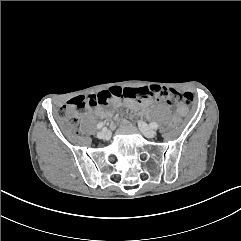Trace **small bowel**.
Instances as JSON below:
<instances>
[{"instance_id":"small-bowel-1","label":"small bowel","mask_w":241,"mask_h":241,"mask_svg":"<svg viewBox=\"0 0 241 241\" xmlns=\"http://www.w3.org/2000/svg\"><path fill=\"white\" fill-rule=\"evenodd\" d=\"M152 102L153 101L151 99H146V100H143L141 102H137V101H133V100H127L128 105H130L132 107H141V108H146L147 106L152 104ZM178 111H179V113L183 114V113H185V108L180 106V107H178ZM95 112H96L97 115H99L101 117H107L108 116V112H106L101 107H97L95 109Z\"/></svg>"}]
</instances>
